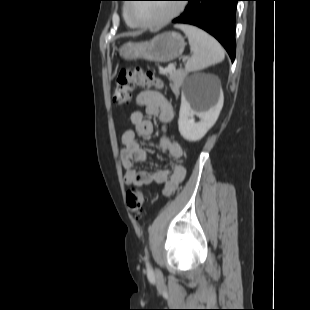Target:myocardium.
<instances>
[{
  "mask_svg": "<svg viewBox=\"0 0 310 310\" xmlns=\"http://www.w3.org/2000/svg\"><path fill=\"white\" fill-rule=\"evenodd\" d=\"M132 4H127L125 6V17L126 19L132 23L135 27H140V28H146V29H157V28H161L163 26H165L166 24H168L169 22H171L172 20H174L176 17H178L183 11H184V5L183 4H176L174 7L173 12L168 15L167 17L161 19L160 21L157 22H153V23H148V22H141L138 21L136 19H134L131 15H130V7Z\"/></svg>",
  "mask_w": 310,
  "mask_h": 310,
  "instance_id": "obj_1",
  "label": "myocardium"
}]
</instances>
